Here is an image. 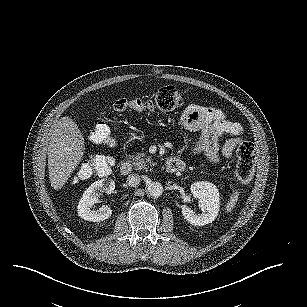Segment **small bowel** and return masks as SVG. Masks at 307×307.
<instances>
[{
  "mask_svg": "<svg viewBox=\"0 0 307 307\" xmlns=\"http://www.w3.org/2000/svg\"><path fill=\"white\" fill-rule=\"evenodd\" d=\"M179 124L198 134L191 153L203 152L212 161H217L220 157H231L236 145L241 141V125L229 120L226 114L215 106L191 103L182 112ZM223 135L231 137L220 146L218 139Z\"/></svg>",
  "mask_w": 307,
  "mask_h": 307,
  "instance_id": "small-bowel-1",
  "label": "small bowel"
}]
</instances>
